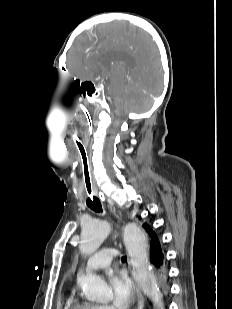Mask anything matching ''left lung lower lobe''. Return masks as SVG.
I'll return each mask as SVG.
<instances>
[{
    "mask_svg": "<svg viewBox=\"0 0 232 309\" xmlns=\"http://www.w3.org/2000/svg\"><path fill=\"white\" fill-rule=\"evenodd\" d=\"M148 234L150 236V263L153 265L160 279L165 280L167 277L166 255L160 237L152 228H150Z\"/></svg>",
    "mask_w": 232,
    "mask_h": 309,
    "instance_id": "1",
    "label": "left lung lower lobe"
}]
</instances>
